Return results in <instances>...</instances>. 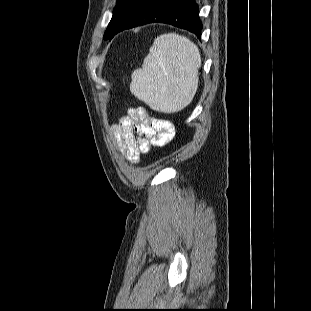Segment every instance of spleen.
<instances>
[{"label":"spleen","instance_id":"1","mask_svg":"<svg viewBox=\"0 0 311 311\" xmlns=\"http://www.w3.org/2000/svg\"><path fill=\"white\" fill-rule=\"evenodd\" d=\"M201 55L188 38L176 33L158 36L130 84L131 93L151 109L175 113L188 106L198 88Z\"/></svg>","mask_w":311,"mask_h":311}]
</instances>
